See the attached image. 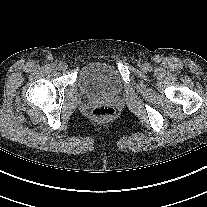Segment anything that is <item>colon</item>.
I'll use <instances>...</instances> for the list:
<instances>
[{
  "mask_svg": "<svg viewBox=\"0 0 207 207\" xmlns=\"http://www.w3.org/2000/svg\"><path fill=\"white\" fill-rule=\"evenodd\" d=\"M91 115L99 122H108L114 117L115 110L109 106H98L92 110Z\"/></svg>",
  "mask_w": 207,
  "mask_h": 207,
  "instance_id": "5ec220e1",
  "label": "colon"
}]
</instances>
